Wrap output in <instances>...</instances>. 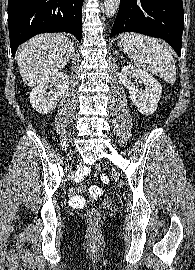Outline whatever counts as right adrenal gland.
I'll return each mask as SVG.
<instances>
[{
	"label": "right adrenal gland",
	"instance_id": "1",
	"mask_svg": "<svg viewBox=\"0 0 195 270\" xmlns=\"http://www.w3.org/2000/svg\"><path fill=\"white\" fill-rule=\"evenodd\" d=\"M73 54H75V49H74V51H73Z\"/></svg>",
	"mask_w": 195,
	"mask_h": 270
}]
</instances>
